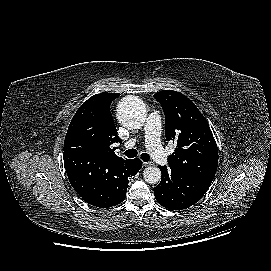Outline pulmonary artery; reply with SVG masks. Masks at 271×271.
<instances>
[{"instance_id":"pulmonary-artery-1","label":"pulmonary artery","mask_w":271,"mask_h":271,"mask_svg":"<svg viewBox=\"0 0 271 271\" xmlns=\"http://www.w3.org/2000/svg\"><path fill=\"white\" fill-rule=\"evenodd\" d=\"M145 144L152 158L159 164H165L168 161V155L160 143L161 117L156 112L150 113L147 117L145 126ZM136 139H131L125 144V147L135 145Z\"/></svg>"}]
</instances>
